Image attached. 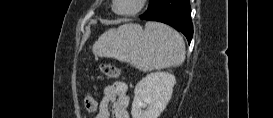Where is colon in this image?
I'll use <instances>...</instances> for the list:
<instances>
[{
  "mask_svg": "<svg viewBox=\"0 0 273 118\" xmlns=\"http://www.w3.org/2000/svg\"><path fill=\"white\" fill-rule=\"evenodd\" d=\"M99 69L101 73L107 77L117 78L120 76V70L113 65L101 64ZM84 103H85V108L87 111L89 112L96 111L97 106H96V102L93 99L87 96L84 99Z\"/></svg>",
  "mask_w": 273,
  "mask_h": 118,
  "instance_id": "5ec220e1",
  "label": "colon"
}]
</instances>
